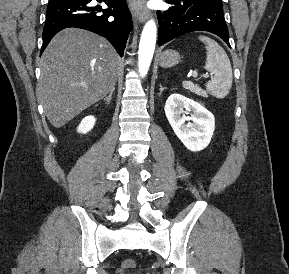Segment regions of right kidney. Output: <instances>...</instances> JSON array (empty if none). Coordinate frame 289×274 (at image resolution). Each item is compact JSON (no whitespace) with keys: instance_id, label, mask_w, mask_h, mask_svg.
<instances>
[{"instance_id":"1","label":"right kidney","mask_w":289,"mask_h":274,"mask_svg":"<svg viewBox=\"0 0 289 274\" xmlns=\"http://www.w3.org/2000/svg\"><path fill=\"white\" fill-rule=\"evenodd\" d=\"M96 119L94 116L89 115L82 119L81 123L77 128V132L86 134L89 132L95 125Z\"/></svg>"}]
</instances>
